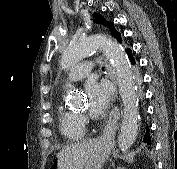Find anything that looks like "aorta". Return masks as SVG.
<instances>
[{
    "mask_svg": "<svg viewBox=\"0 0 177 169\" xmlns=\"http://www.w3.org/2000/svg\"><path fill=\"white\" fill-rule=\"evenodd\" d=\"M98 49H102L110 60L120 87L124 116L118 134V146L123 153H126L136 140L140 116L133 72L123 49L107 36H89L63 51L61 66L68 70ZM67 100L71 105H78L82 102V97L77 92H69Z\"/></svg>",
    "mask_w": 177,
    "mask_h": 169,
    "instance_id": "1",
    "label": "aorta"
}]
</instances>
